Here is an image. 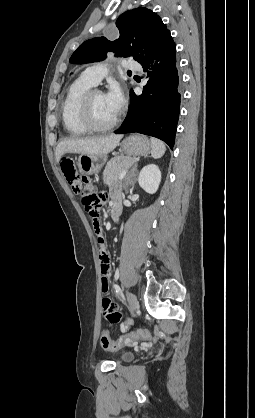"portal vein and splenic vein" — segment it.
I'll return each mask as SVG.
<instances>
[{
  "label": "portal vein and splenic vein",
  "instance_id": "portal-vein-and-splenic-vein-1",
  "mask_svg": "<svg viewBox=\"0 0 255 418\" xmlns=\"http://www.w3.org/2000/svg\"><path fill=\"white\" fill-rule=\"evenodd\" d=\"M127 172H128L127 169L124 170V171H122L121 174H120V176H119V179L122 180L126 176Z\"/></svg>",
  "mask_w": 255,
  "mask_h": 418
}]
</instances>
